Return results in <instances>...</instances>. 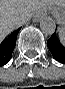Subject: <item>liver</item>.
Segmentation results:
<instances>
[{"mask_svg": "<svg viewBox=\"0 0 65 89\" xmlns=\"http://www.w3.org/2000/svg\"><path fill=\"white\" fill-rule=\"evenodd\" d=\"M63 5V0H0V38H5L15 30L20 18L29 20L42 9Z\"/></svg>", "mask_w": 65, "mask_h": 89, "instance_id": "liver-1", "label": "liver"}]
</instances>
